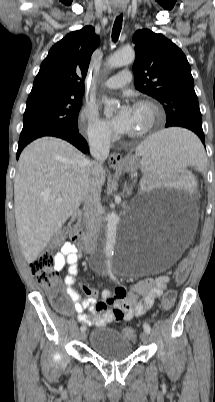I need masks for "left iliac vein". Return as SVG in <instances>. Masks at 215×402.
I'll use <instances>...</instances> for the list:
<instances>
[{
    "mask_svg": "<svg viewBox=\"0 0 215 402\" xmlns=\"http://www.w3.org/2000/svg\"><path fill=\"white\" fill-rule=\"evenodd\" d=\"M140 338H141V341H142L144 344H147V343L149 342V334H148L146 331H144V332H142V333L140 334Z\"/></svg>",
    "mask_w": 215,
    "mask_h": 402,
    "instance_id": "4c4485c4",
    "label": "left iliac vein"
}]
</instances>
